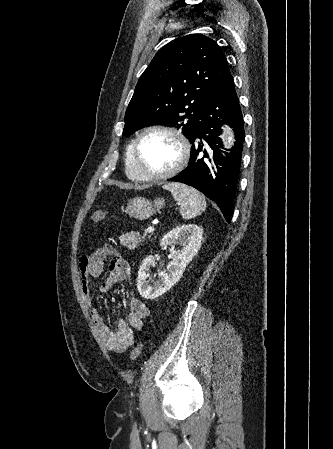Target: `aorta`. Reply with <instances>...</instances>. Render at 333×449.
I'll return each instance as SVG.
<instances>
[{"label": "aorta", "mask_w": 333, "mask_h": 449, "mask_svg": "<svg viewBox=\"0 0 333 449\" xmlns=\"http://www.w3.org/2000/svg\"><path fill=\"white\" fill-rule=\"evenodd\" d=\"M229 136H231V133H229V134L226 136L225 142H226V143H229V144H232V140L229 139Z\"/></svg>", "instance_id": "762f6f07"}]
</instances>
